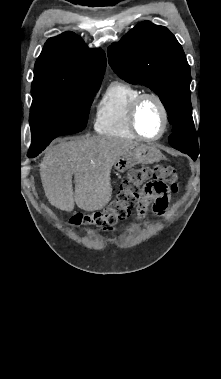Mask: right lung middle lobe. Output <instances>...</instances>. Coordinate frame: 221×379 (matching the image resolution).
<instances>
[{
	"label": "right lung middle lobe",
	"mask_w": 221,
	"mask_h": 379,
	"mask_svg": "<svg viewBox=\"0 0 221 379\" xmlns=\"http://www.w3.org/2000/svg\"><path fill=\"white\" fill-rule=\"evenodd\" d=\"M99 86H82L34 95L30 109L33 149L46 147L54 138L82 131Z\"/></svg>",
	"instance_id": "obj_1"
}]
</instances>
